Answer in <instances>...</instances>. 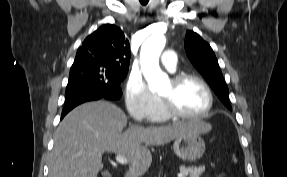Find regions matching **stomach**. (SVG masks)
Here are the masks:
<instances>
[{"instance_id":"stomach-1","label":"stomach","mask_w":287,"mask_h":177,"mask_svg":"<svg viewBox=\"0 0 287 177\" xmlns=\"http://www.w3.org/2000/svg\"><path fill=\"white\" fill-rule=\"evenodd\" d=\"M173 150L180 159L193 162L204 154L205 142L200 133L189 132L175 138Z\"/></svg>"}]
</instances>
